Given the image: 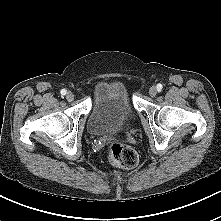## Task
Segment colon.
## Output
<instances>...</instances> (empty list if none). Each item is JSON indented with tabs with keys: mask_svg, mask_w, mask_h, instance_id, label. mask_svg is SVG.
Returning <instances> with one entry per match:
<instances>
[{
	"mask_svg": "<svg viewBox=\"0 0 221 221\" xmlns=\"http://www.w3.org/2000/svg\"><path fill=\"white\" fill-rule=\"evenodd\" d=\"M108 156L111 163L123 169H132L138 164V155L134 149L121 142L110 145Z\"/></svg>",
	"mask_w": 221,
	"mask_h": 221,
	"instance_id": "1",
	"label": "colon"
}]
</instances>
